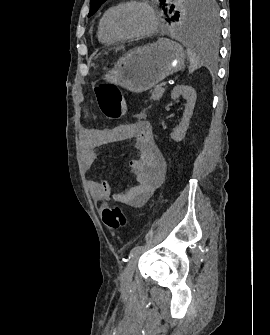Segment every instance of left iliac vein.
I'll list each match as a JSON object with an SVG mask.
<instances>
[{"label":"left iliac vein","mask_w":270,"mask_h":335,"mask_svg":"<svg viewBox=\"0 0 270 335\" xmlns=\"http://www.w3.org/2000/svg\"><path fill=\"white\" fill-rule=\"evenodd\" d=\"M140 253L135 254L130 261L127 264V267L125 268V270L123 271L122 275H121V285L123 287H127L130 285L132 278H133V274L135 271V268L137 266L139 257H140Z\"/></svg>","instance_id":"left-iliac-vein-1"}]
</instances>
